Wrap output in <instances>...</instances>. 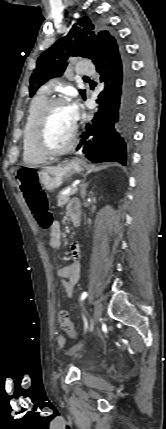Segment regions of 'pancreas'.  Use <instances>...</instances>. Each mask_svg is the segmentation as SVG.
Returning a JSON list of instances; mask_svg holds the SVG:
<instances>
[{
    "instance_id": "1",
    "label": "pancreas",
    "mask_w": 166,
    "mask_h": 429,
    "mask_svg": "<svg viewBox=\"0 0 166 429\" xmlns=\"http://www.w3.org/2000/svg\"><path fill=\"white\" fill-rule=\"evenodd\" d=\"M70 195H71V192L59 195L57 198V206L63 207L69 201Z\"/></svg>"
}]
</instances>
